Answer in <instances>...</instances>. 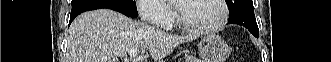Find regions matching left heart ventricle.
Masks as SVG:
<instances>
[{"instance_id":"left-heart-ventricle-1","label":"left heart ventricle","mask_w":331,"mask_h":62,"mask_svg":"<svg viewBox=\"0 0 331 62\" xmlns=\"http://www.w3.org/2000/svg\"><path fill=\"white\" fill-rule=\"evenodd\" d=\"M179 4L184 19L193 26H213L222 15L221 6L216 0H190Z\"/></svg>"}]
</instances>
